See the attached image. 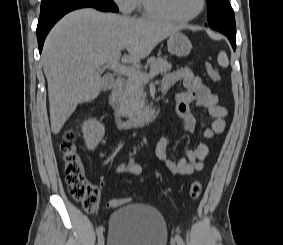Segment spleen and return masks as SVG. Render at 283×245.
Returning a JSON list of instances; mask_svg holds the SVG:
<instances>
[{
    "label": "spleen",
    "mask_w": 283,
    "mask_h": 245,
    "mask_svg": "<svg viewBox=\"0 0 283 245\" xmlns=\"http://www.w3.org/2000/svg\"><path fill=\"white\" fill-rule=\"evenodd\" d=\"M218 63L222 67H228L229 60H228L227 54L224 51H220L218 55Z\"/></svg>",
    "instance_id": "3e777b00"
}]
</instances>
